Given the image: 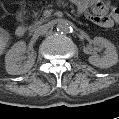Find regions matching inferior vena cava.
Listing matches in <instances>:
<instances>
[{
	"instance_id": "obj_1",
	"label": "inferior vena cava",
	"mask_w": 119,
	"mask_h": 119,
	"mask_svg": "<svg viewBox=\"0 0 119 119\" xmlns=\"http://www.w3.org/2000/svg\"><path fill=\"white\" fill-rule=\"evenodd\" d=\"M51 28V25L48 23V24H44L40 27H38L36 30H35V33L37 35H40V34H43L45 32H47L49 29Z\"/></svg>"
}]
</instances>
